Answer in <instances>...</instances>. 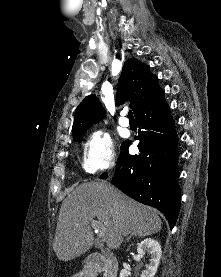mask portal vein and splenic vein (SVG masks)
Returning a JSON list of instances; mask_svg holds the SVG:
<instances>
[{
  "label": "portal vein and splenic vein",
  "instance_id": "portal-vein-and-splenic-vein-1",
  "mask_svg": "<svg viewBox=\"0 0 221 277\" xmlns=\"http://www.w3.org/2000/svg\"><path fill=\"white\" fill-rule=\"evenodd\" d=\"M91 226H92V228H94L97 231L98 237L104 238L105 230H104V228L100 227V224L98 221H96V220L91 221Z\"/></svg>",
  "mask_w": 221,
  "mask_h": 277
}]
</instances>
